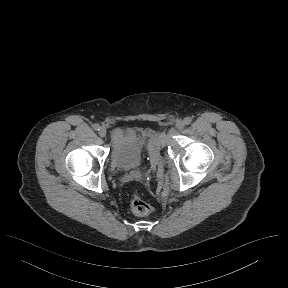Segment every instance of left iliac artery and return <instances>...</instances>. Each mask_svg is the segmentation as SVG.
<instances>
[{
  "instance_id": "1",
  "label": "left iliac artery",
  "mask_w": 288,
  "mask_h": 288,
  "mask_svg": "<svg viewBox=\"0 0 288 288\" xmlns=\"http://www.w3.org/2000/svg\"><path fill=\"white\" fill-rule=\"evenodd\" d=\"M192 119L190 117L184 118V124L189 125L191 123Z\"/></svg>"
}]
</instances>
